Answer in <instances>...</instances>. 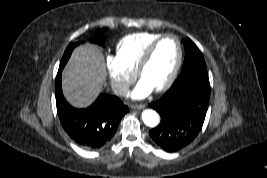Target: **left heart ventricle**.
<instances>
[{"mask_svg":"<svg viewBox=\"0 0 267 178\" xmlns=\"http://www.w3.org/2000/svg\"><path fill=\"white\" fill-rule=\"evenodd\" d=\"M178 56L176 41L169 37L155 49L149 63L144 68L141 79L153 89L161 86L169 77Z\"/></svg>","mask_w":267,"mask_h":178,"instance_id":"b2bd125f","label":"left heart ventricle"}]
</instances>
